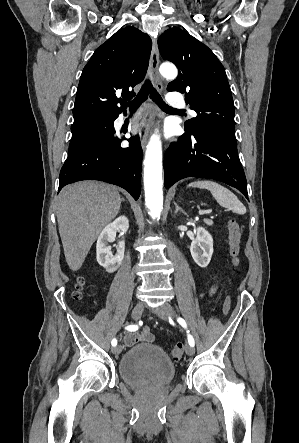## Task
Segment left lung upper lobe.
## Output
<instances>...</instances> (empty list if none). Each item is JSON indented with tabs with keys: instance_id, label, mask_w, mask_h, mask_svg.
I'll return each mask as SVG.
<instances>
[{
	"instance_id": "1",
	"label": "left lung upper lobe",
	"mask_w": 299,
	"mask_h": 443,
	"mask_svg": "<svg viewBox=\"0 0 299 443\" xmlns=\"http://www.w3.org/2000/svg\"><path fill=\"white\" fill-rule=\"evenodd\" d=\"M158 46L163 59L179 69L167 90L185 93L186 102L197 113V117L185 122V132L212 130L235 138L231 89L225 69L213 52L178 28L166 30Z\"/></svg>"
}]
</instances>
